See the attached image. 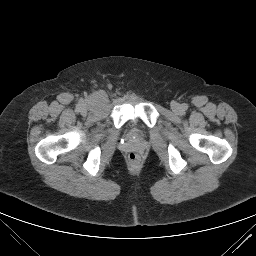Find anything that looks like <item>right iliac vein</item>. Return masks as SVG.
Segmentation results:
<instances>
[{
    "mask_svg": "<svg viewBox=\"0 0 256 256\" xmlns=\"http://www.w3.org/2000/svg\"><path fill=\"white\" fill-rule=\"evenodd\" d=\"M80 112H81V114L85 115L87 113V106L86 105H82Z\"/></svg>",
    "mask_w": 256,
    "mask_h": 256,
    "instance_id": "right-iliac-vein-1",
    "label": "right iliac vein"
}]
</instances>
